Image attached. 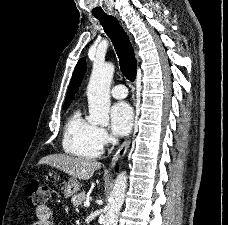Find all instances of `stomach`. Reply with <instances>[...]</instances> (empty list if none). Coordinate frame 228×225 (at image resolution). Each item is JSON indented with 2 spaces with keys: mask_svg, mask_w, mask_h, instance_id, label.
I'll return each instance as SVG.
<instances>
[{
  "mask_svg": "<svg viewBox=\"0 0 228 225\" xmlns=\"http://www.w3.org/2000/svg\"><path fill=\"white\" fill-rule=\"evenodd\" d=\"M53 179H57V175H53L51 173ZM63 189V195L65 199H69V197H73V195H76L78 191H80V183L79 181H76L74 177H71V179H68L67 183H64Z\"/></svg>",
  "mask_w": 228,
  "mask_h": 225,
  "instance_id": "stomach-1",
  "label": "stomach"
}]
</instances>
